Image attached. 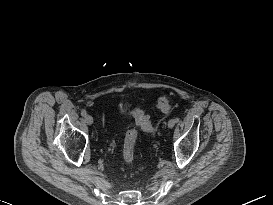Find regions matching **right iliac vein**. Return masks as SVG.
Returning a JSON list of instances; mask_svg holds the SVG:
<instances>
[{
	"label": "right iliac vein",
	"mask_w": 273,
	"mask_h": 205,
	"mask_svg": "<svg viewBox=\"0 0 273 205\" xmlns=\"http://www.w3.org/2000/svg\"><path fill=\"white\" fill-rule=\"evenodd\" d=\"M85 122L88 124V125H92L93 124V117L91 115H86L85 116Z\"/></svg>",
	"instance_id": "right-iliac-vein-1"
}]
</instances>
